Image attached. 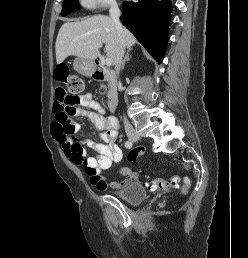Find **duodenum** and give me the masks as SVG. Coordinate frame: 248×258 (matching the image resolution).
<instances>
[{"instance_id":"obj_1","label":"duodenum","mask_w":248,"mask_h":258,"mask_svg":"<svg viewBox=\"0 0 248 258\" xmlns=\"http://www.w3.org/2000/svg\"><path fill=\"white\" fill-rule=\"evenodd\" d=\"M92 77L97 81L104 80L111 84V89L108 93V109L111 112H114L118 104L116 74L111 70L103 68L99 61H95L92 70Z\"/></svg>"}]
</instances>
